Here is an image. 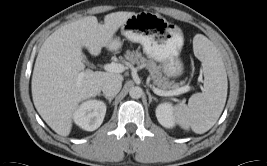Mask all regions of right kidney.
Here are the masks:
<instances>
[{
    "label": "right kidney",
    "mask_w": 267,
    "mask_h": 166,
    "mask_svg": "<svg viewBox=\"0 0 267 166\" xmlns=\"http://www.w3.org/2000/svg\"><path fill=\"white\" fill-rule=\"evenodd\" d=\"M106 105L102 101L89 100L82 103L74 112V121L82 129L94 131L103 122Z\"/></svg>",
    "instance_id": "right-kidney-1"
}]
</instances>
